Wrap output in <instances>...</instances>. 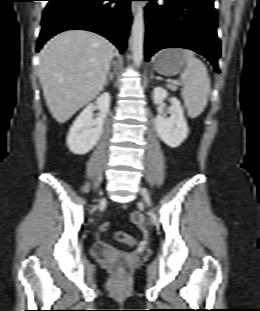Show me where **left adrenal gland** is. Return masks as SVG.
Here are the masks:
<instances>
[{
	"instance_id": "left-adrenal-gland-1",
	"label": "left adrenal gland",
	"mask_w": 260,
	"mask_h": 311,
	"mask_svg": "<svg viewBox=\"0 0 260 311\" xmlns=\"http://www.w3.org/2000/svg\"><path fill=\"white\" fill-rule=\"evenodd\" d=\"M150 78H152V79L155 78L154 75H153V72H151Z\"/></svg>"
}]
</instances>
